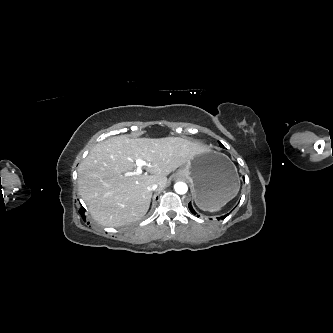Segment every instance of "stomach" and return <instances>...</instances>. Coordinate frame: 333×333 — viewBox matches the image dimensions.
<instances>
[{
    "label": "stomach",
    "instance_id": "obj_1",
    "mask_svg": "<svg viewBox=\"0 0 333 333\" xmlns=\"http://www.w3.org/2000/svg\"><path fill=\"white\" fill-rule=\"evenodd\" d=\"M175 175L188 179L202 210L224 206L236 196L239 186L236 166L227 155L214 150L195 155Z\"/></svg>",
    "mask_w": 333,
    "mask_h": 333
}]
</instances>
